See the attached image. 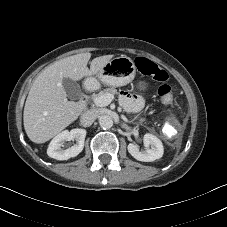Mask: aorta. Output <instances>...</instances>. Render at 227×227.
I'll return each instance as SVG.
<instances>
[{
	"label": "aorta",
	"instance_id": "aorta-1",
	"mask_svg": "<svg viewBox=\"0 0 227 227\" xmlns=\"http://www.w3.org/2000/svg\"><path fill=\"white\" fill-rule=\"evenodd\" d=\"M99 125L103 129H109L113 126V119L109 115H103L99 118Z\"/></svg>",
	"mask_w": 227,
	"mask_h": 227
}]
</instances>
